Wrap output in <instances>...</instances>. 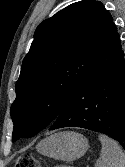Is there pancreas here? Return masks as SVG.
Segmentation results:
<instances>
[{"label":"pancreas","instance_id":"cf45deb5","mask_svg":"<svg viewBox=\"0 0 125 167\" xmlns=\"http://www.w3.org/2000/svg\"><path fill=\"white\" fill-rule=\"evenodd\" d=\"M58 167H66V166H58Z\"/></svg>","mask_w":125,"mask_h":167}]
</instances>
